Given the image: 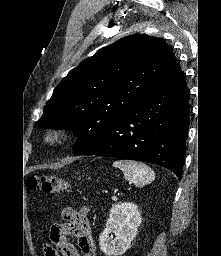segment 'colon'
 Wrapping results in <instances>:
<instances>
[{"mask_svg":"<svg viewBox=\"0 0 221 256\" xmlns=\"http://www.w3.org/2000/svg\"><path fill=\"white\" fill-rule=\"evenodd\" d=\"M28 186L33 190H40L45 193H62L68 190V183L57 176L42 174L31 176L28 179Z\"/></svg>","mask_w":221,"mask_h":256,"instance_id":"obj_1","label":"colon"}]
</instances>
